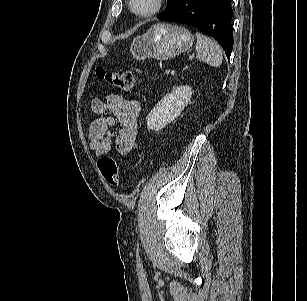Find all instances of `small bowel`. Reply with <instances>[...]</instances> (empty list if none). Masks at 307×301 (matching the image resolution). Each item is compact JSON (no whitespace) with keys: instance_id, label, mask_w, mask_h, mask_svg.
Returning <instances> with one entry per match:
<instances>
[{"instance_id":"obj_1","label":"small bowel","mask_w":307,"mask_h":301,"mask_svg":"<svg viewBox=\"0 0 307 301\" xmlns=\"http://www.w3.org/2000/svg\"><path fill=\"white\" fill-rule=\"evenodd\" d=\"M91 110L98 115L89 131L90 147L97 156L108 155L113 144L121 155H128L135 150L141 111L138 100L112 94L106 99L94 98L91 101ZM114 126L118 128L116 134L111 131Z\"/></svg>"}]
</instances>
